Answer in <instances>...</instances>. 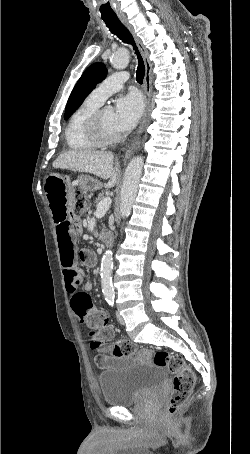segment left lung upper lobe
<instances>
[{
  "instance_id": "1",
  "label": "left lung upper lobe",
  "mask_w": 250,
  "mask_h": 454,
  "mask_svg": "<svg viewBox=\"0 0 250 454\" xmlns=\"http://www.w3.org/2000/svg\"><path fill=\"white\" fill-rule=\"evenodd\" d=\"M107 75V69L103 63H94L89 66L76 83L68 99L64 119H67L82 104L88 94Z\"/></svg>"
}]
</instances>
